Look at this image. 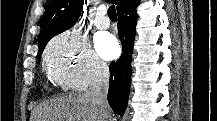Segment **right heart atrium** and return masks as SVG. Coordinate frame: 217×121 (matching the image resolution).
I'll return each instance as SVG.
<instances>
[{"instance_id":"obj_1","label":"right heart atrium","mask_w":217,"mask_h":121,"mask_svg":"<svg viewBox=\"0 0 217 121\" xmlns=\"http://www.w3.org/2000/svg\"><path fill=\"white\" fill-rule=\"evenodd\" d=\"M44 68L56 85L77 91L103 82L109 76L107 64L86 39L71 31L55 36L48 43L44 52Z\"/></svg>"}]
</instances>
